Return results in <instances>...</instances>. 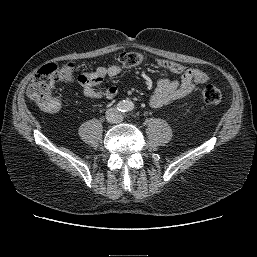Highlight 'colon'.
<instances>
[{
  "label": "colon",
  "mask_w": 257,
  "mask_h": 257,
  "mask_svg": "<svg viewBox=\"0 0 257 257\" xmlns=\"http://www.w3.org/2000/svg\"><path fill=\"white\" fill-rule=\"evenodd\" d=\"M146 57L135 51H126L119 55L116 65L120 69L131 68L141 64ZM157 64L173 73H190L198 82L205 83L208 75L201 70L187 68L181 64L158 59ZM79 79V78H78ZM76 80V66L72 62H65L61 65L54 63L41 67L27 88L28 97L40 108L47 112H56L62 108L64 101L52 94V88L56 83L71 84ZM202 100L207 105H217L221 102V91L212 84H207L201 91Z\"/></svg>",
  "instance_id": "obj_1"
}]
</instances>
